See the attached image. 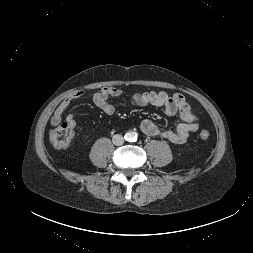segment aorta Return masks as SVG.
I'll return each instance as SVG.
<instances>
[{"instance_id": "aorta-1", "label": "aorta", "mask_w": 253, "mask_h": 253, "mask_svg": "<svg viewBox=\"0 0 253 253\" xmlns=\"http://www.w3.org/2000/svg\"><path fill=\"white\" fill-rule=\"evenodd\" d=\"M126 138L128 139V140H133V139H135L136 138V135H135V133L134 132H129V133H127V135H126Z\"/></svg>"}]
</instances>
